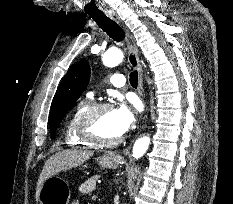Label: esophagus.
<instances>
[{
    "label": "esophagus",
    "mask_w": 233,
    "mask_h": 204,
    "mask_svg": "<svg viewBox=\"0 0 233 204\" xmlns=\"http://www.w3.org/2000/svg\"><path fill=\"white\" fill-rule=\"evenodd\" d=\"M105 14L113 19L116 23H118L124 30L126 35V41L129 48V55H128V61L131 67L137 70L138 72V81H139V91L141 95L144 93L143 89V71L142 67L139 61V55H138V48L136 45V41L132 33L129 31V29L122 23V21L119 19V17L116 15V13L112 10H106Z\"/></svg>",
    "instance_id": "34e87169"
}]
</instances>
